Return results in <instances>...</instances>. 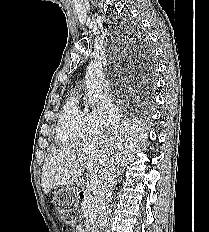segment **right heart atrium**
<instances>
[{
  "label": "right heart atrium",
  "mask_w": 209,
  "mask_h": 232,
  "mask_svg": "<svg viewBox=\"0 0 209 232\" xmlns=\"http://www.w3.org/2000/svg\"><path fill=\"white\" fill-rule=\"evenodd\" d=\"M90 118L95 132H102L118 121L119 110L109 98H104L92 109Z\"/></svg>",
  "instance_id": "obj_1"
}]
</instances>
